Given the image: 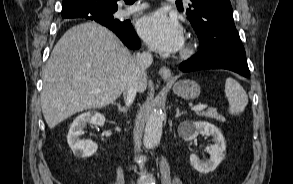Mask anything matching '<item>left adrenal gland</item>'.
I'll use <instances>...</instances> for the list:
<instances>
[{
    "label": "left adrenal gland",
    "mask_w": 293,
    "mask_h": 184,
    "mask_svg": "<svg viewBox=\"0 0 293 184\" xmlns=\"http://www.w3.org/2000/svg\"><path fill=\"white\" fill-rule=\"evenodd\" d=\"M185 114V112H180L179 108H176V115L175 118H179L181 115Z\"/></svg>",
    "instance_id": "obj_1"
}]
</instances>
